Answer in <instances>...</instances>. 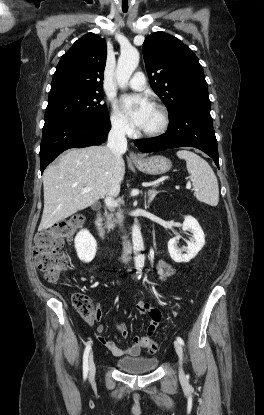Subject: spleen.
I'll list each match as a JSON object with an SVG mask.
<instances>
[{
	"mask_svg": "<svg viewBox=\"0 0 264 415\" xmlns=\"http://www.w3.org/2000/svg\"><path fill=\"white\" fill-rule=\"evenodd\" d=\"M176 154L186 161L187 171L190 174L197 200L210 206H217L219 201L218 181L210 165L192 151L179 150Z\"/></svg>",
	"mask_w": 264,
	"mask_h": 415,
	"instance_id": "1",
	"label": "spleen"
}]
</instances>
